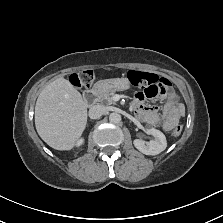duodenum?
I'll return each mask as SVG.
<instances>
[{"mask_svg":"<svg viewBox=\"0 0 223 223\" xmlns=\"http://www.w3.org/2000/svg\"><path fill=\"white\" fill-rule=\"evenodd\" d=\"M101 94H103V85L97 83L84 93V101L87 105H93Z\"/></svg>","mask_w":223,"mask_h":223,"instance_id":"obj_1","label":"duodenum"}]
</instances>
